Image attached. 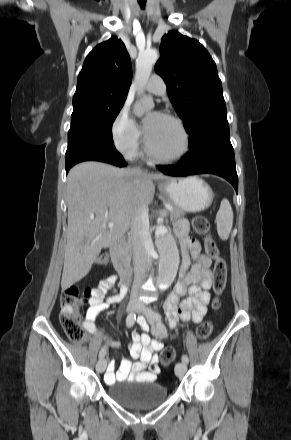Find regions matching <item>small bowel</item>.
<instances>
[{
    "label": "small bowel",
    "mask_w": 291,
    "mask_h": 440,
    "mask_svg": "<svg viewBox=\"0 0 291 440\" xmlns=\"http://www.w3.org/2000/svg\"><path fill=\"white\" fill-rule=\"evenodd\" d=\"M189 227L186 221L180 220L174 227V234L182 246L180 277L173 290L168 295L164 309L170 323L176 324L179 317L183 320H192L200 323L207 311L210 301L209 289L212 285V274L209 270L211 259L202 253L200 243L189 236ZM115 277L102 280L90 299V306L82 320V326L92 335L98 334L96 319L114 303L123 299L127 292V285L122 282L116 287ZM113 288L114 293L105 296V291ZM143 328L146 323L139 319ZM117 345L116 341H111ZM163 344L151 340L145 334L134 332L129 345V355L136 360L134 363L123 358L120 365L111 362L105 374L107 383L121 382L127 379H154L160 373L157 352Z\"/></svg>",
    "instance_id": "c3829d8e"
}]
</instances>
